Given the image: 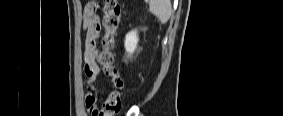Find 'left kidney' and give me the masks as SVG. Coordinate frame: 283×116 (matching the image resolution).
I'll use <instances>...</instances> for the list:
<instances>
[{
  "label": "left kidney",
  "mask_w": 283,
  "mask_h": 116,
  "mask_svg": "<svg viewBox=\"0 0 283 116\" xmlns=\"http://www.w3.org/2000/svg\"><path fill=\"white\" fill-rule=\"evenodd\" d=\"M138 33L136 30L130 31L125 36L124 47L128 56L132 55L136 50L138 43Z\"/></svg>",
  "instance_id": "left-kidney-1"
}]
</instances>
